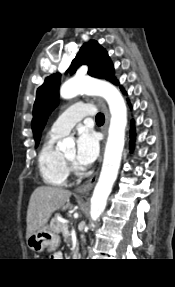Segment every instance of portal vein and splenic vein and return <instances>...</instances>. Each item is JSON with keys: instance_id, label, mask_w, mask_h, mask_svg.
Masks as SVG:
<instances>
[{"instance_id": "portal-vein-and-splenic-vein-1", "label": "portal vein and splenic vein", "mask_w": 175, "mask_h": 287, "mask_svg": "<svg viewBox=\"0 0 175 287\" xmlns=\"http://www.w3.org/2000/svg\"><path fill=\"white\" fill-rule=\"evenodd\" d=\"M63 229H64L65 235H68L69 234V230H68V225L67 224H64Z\"/></svg>"}]
</instances>
